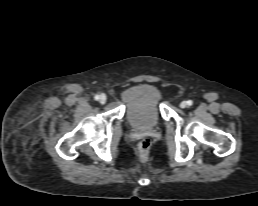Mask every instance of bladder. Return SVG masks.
<instances>
[{
  "mask_svg": "<svg viewBox=\"0 0 258 206\" xmlns=\"http://www.w3.org/2000/svg\"><path fill=\"white\" fill-rule=\"evenodd\" d=\"M125 117L137 129L155 127L161 119L162 96L159 89L148 83L133 85L123 92Z\"/></svg>",
  "mask_w": 258,
  "mask_h": 206,
  "instance_id": "1",
  "label": "bladder"
}]
</instances>
